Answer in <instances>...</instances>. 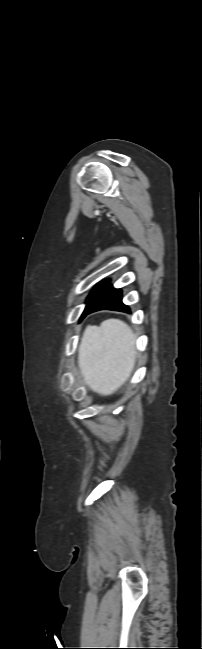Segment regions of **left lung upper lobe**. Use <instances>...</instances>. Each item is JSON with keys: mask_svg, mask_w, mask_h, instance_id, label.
I'll return each instance as SVG.
<instances>
[{"mask_svg": "<svg viewBox=\"0 0 202 649\" xmlns=\"http://www.w3.org/2000/svg\"><path fill=\"white\" fill-rule=\"evenodd\" d=\"M108 284H109L108 281H104L95 287V289L91 292V294L87 298L86 308L104 291V289L108 286Z\"/></svg>", "mask_w": 202, "mask_h": 649, "instance_id": "5c2ea615", "label": "left lung upper lobe"}]
</instances>
